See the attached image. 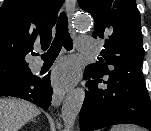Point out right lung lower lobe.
Segmentation results:
<instances>
[{
    "instance_id": "98d812e1",
    "label": "right lung lower lobe",
    "mask_w": 151,
    "mask_h": 131,
    "mask_svg": "<svg viewBox=\"0 0 151 131\" xmlns=\"http://www.w3.org/2000/svg\"><path fill=\"white\" fill-rule=\"evenodd\" d=\"M53 90L50 85V74L42 79L30 75L12 85L0 89V96H12L30 101L43 109L51 104Z\"/></svg>"
}]
</instances>
